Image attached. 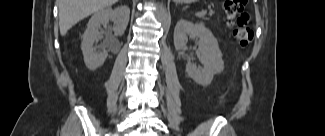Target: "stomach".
I'll use <instances>...</instances> for the list:
<instances>
[{
    "label": "stomach",
    "instance_id": "stomach-1",
    "mask_svg": "<svg viewBox=\"0 0 325 136\" xmlns=\"http://www.w3.org/2000/svg\"><path fill=\"white\" fill-rule=\"evenodd\" d=\"M178 2L189 3V2H192V0H178Z\"/></svg>",
    "mask_w": 325,
    "mask_h": 136
}]
</instances>
